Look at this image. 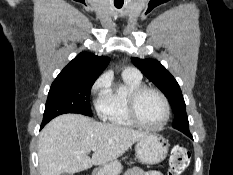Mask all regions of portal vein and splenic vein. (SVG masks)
<instances>
[{"mask_svg": "<svg viewBox=\"0 0 233 175\" xmlns=\"http://www.w3.org/2000/svg\"><path fill=\"white\" fill-rule=\"evenodd\" d=\"M90 150H93V151H94V150H96V148H95V147H92V148H90L88 151H90Z\"/></svg>", "mask_w": 233, "mask_h": 175, "instance_id": "obj_1", "label": "portal vein and splenic vein"}]
</instances>
